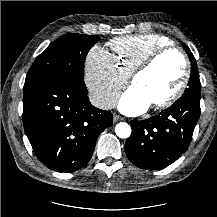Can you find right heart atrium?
Instances as JSON below:
<instances>
[{
  "label": "right heart atrium",
  "instance_id": "right-heart-atrium-1",
  "mask_svg": "<svg viewBox=\"0 0 217 217\" xmlns=\"http://www.w3.org/2000/svg\"><path fill=\"white\" fill-rule=\"evenodd\" d=\"M127 82L128 77L115 66L109 52L101 46L90 49L85 62V83L96 106L112 107Z\"/></svg>",
  "mask_w": 217,
  "mask_h": 217
}]
</instances>
